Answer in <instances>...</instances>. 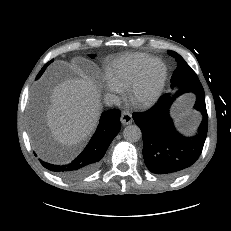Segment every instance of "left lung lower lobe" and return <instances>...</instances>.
I'll use <instances>...</instances> for the list:
<instances>
[{
    "instance_id": "obj_1",
    "label": "left lung lower lobe",
    "mask_w": 231,
    "mask_h": 231,
    "mask_svg": "<svg viewBox=\"0 0 231 231\" xmlns=\"http://www.w3.org/2000/svg\"><path fill=\"white\" fill-rule=\"evenodd\" d=\"M187 92L196 95L194 108L202 114V122L195 136L178 133L169 116L173 100ZM133 119L142 131L143 157L147 168L155 174L175 177L190 168L200 157L208 130V115L202 85L182 87L171 97L164 94L157 104Z\"/></svg>"
}]
</instances>
